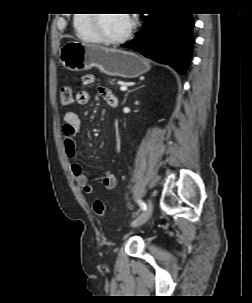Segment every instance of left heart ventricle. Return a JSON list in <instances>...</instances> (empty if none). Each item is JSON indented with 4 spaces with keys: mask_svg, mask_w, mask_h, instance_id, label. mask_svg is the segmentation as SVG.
Here are the masks:
<instances>
[{
    "mask_svg": "<svg viewBox=\"0 0 252 303\" xmlns=\"http://www.w3.org/2000/svg\"><path fill=\"white\" fill-rule=\"evenodd\" d=\"M101 29L110 37H117L122 35L130 24V17L128 14H102Z\"/></svg>",
    "mask_w": 252,
    "mask_h": 303,
    "instance_id": "1",
    "label": "left heart ventricle"
}]
</instances>
